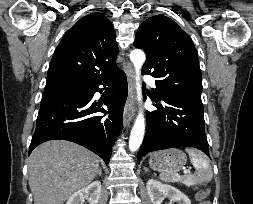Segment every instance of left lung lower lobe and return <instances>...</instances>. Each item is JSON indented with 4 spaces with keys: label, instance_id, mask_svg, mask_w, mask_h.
<instances>
[{
    "label": "left lung lower lobe",
    "instance_id": "left-lung-lower-lobe-1",
    "mask_svg": "<svg viewBox=\"0 0 253 204\" xmlns=\"http://www.w3.org/2000/svg\"><path fill=\"white\" fill-rule=\"evenodd\" d=\"M155 100L158 110L147 112V131L138 152L140 158L149 152L174 148L194 147L209 156L204 130L201 97H161Z\"/></svg>",
    "mask_w": 253,
    "mask_h": 204
}]
</instances>
